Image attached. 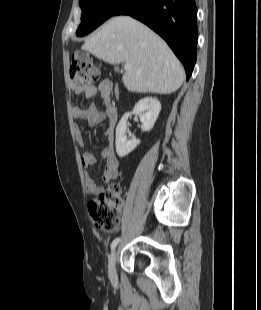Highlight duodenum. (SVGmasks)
I'll list each match as a JSON object with an SVG mask.
<instances>
[{
  "label": "duodenum",
  "mask_w": 261,
  "mask_h": 310,
  "mask_svg": "<svg viewBox=\"0 0 261 310\" xmlns=\"http://www.w3.org/2000/svg\"><path fill=\"white\" fill-rule=\"evenodd\" d=\"M112 121L116 123L117 121V113L116 111L112 114Z\"/></svg>",
  "instance_id": "410a0bca"
}]
</instances>
